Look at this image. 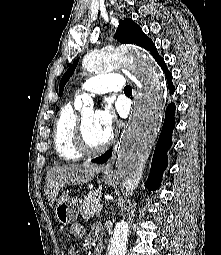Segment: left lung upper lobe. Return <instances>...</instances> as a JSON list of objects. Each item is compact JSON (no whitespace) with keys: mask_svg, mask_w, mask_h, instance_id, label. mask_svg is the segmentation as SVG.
I'll list each match as a JSON object with an SVG mask.
<instances>
[{"mask_svg":"<svg viewBox=\"0 0 221 255\" xmlns=\"http://www.w3.org/2000/svg\"><path fill=\"white\" fill-rule=\"evenodd\" d=\"M115 38L121 43L136 44L138 46L144 47L151 51V54L156 52V48L153 42L146 34L142 32L139 25L134 23L132 19L127 18L119 21V26L116 31ZM79 58L70 66V68L63 75L60 85H59V95L63 93V89L69 78L73 75L74 70L78 64Z\"/></svg>","mask_w":221,"mask_h":255,"instance_id":"obj_1","label":"left lung upper lobe"}]
</instances>
